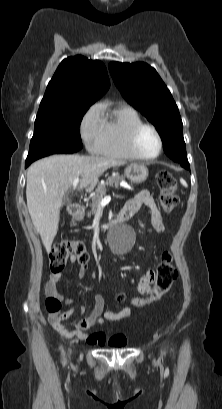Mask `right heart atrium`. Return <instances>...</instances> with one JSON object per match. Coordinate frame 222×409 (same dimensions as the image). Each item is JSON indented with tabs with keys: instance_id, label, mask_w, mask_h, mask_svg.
<instances>
[{
	"instance_id": "1",
	"label": "right heart atrium",
	"mask_w": 222,
	"mask_h": 409,
	"mask_svg": "<svg viewBox=\"0 0 222 409\" xmlns=\"http://www.w3.org/2000/svg\"><path fill=\"white\" fill-rule=\"evenodd\" d=\"M81 138L86 148L97 153L104 132V121L100 104L92 105L83 115L79 125Z\"/></svg>"
}]
</instances>
